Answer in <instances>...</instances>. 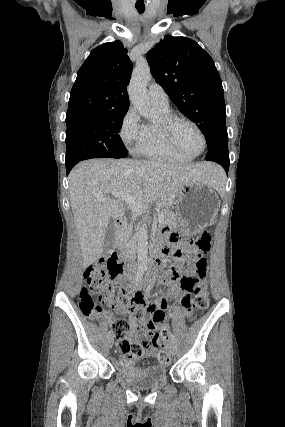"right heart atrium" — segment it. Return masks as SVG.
Instances as JSON below:
<instances>
[{
  "label": "right heart atrium",
  "mask_w": 285,
  "mask_h": 427,
  "mask_svg": "<svg viewBox=\"0 0 285 427\" xmlns=\"http://www.w3.org/2000/svg\"><path fill=\"white\" fill-rule=\"evenodd\" d=\"M120 135L128 149L137 153L144 140L145 125L141 123L140 116L133 107L128 109L123 118Z\"/></svg>",
  "instance_id": "obj_1"
}]
</instances>
